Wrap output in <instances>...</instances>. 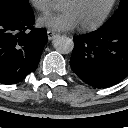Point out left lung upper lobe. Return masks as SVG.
I'll return each instance as SVG.
<instances>
[{
  "mask_svg": "<svg viewBox=\"0 0 128 128\" xmlns=\"http://www.w3.org/2000/svg\"><path fill=\"white\" fill-rule=\"evenodd\" d=\"M125 17H128V0H120L118 10L107 23L114 22Z\"/></svg>",
  "mask_w": 128,
  "mask_h": 128,
  "instance_id": "1",
  "label": "left lung upper lobe"
}]
</instances>
